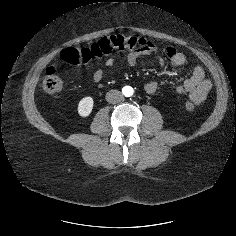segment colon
I'll return each instance as SVG.
<instances>
[{"label": "colon", "instance_id": "obj_1", "mask_svg": "<svg viewBox=\"0 0 236 236\" xmlns=\"http://www.w3.org/2000/svg\"><path fill=\"white\" fill-rule=\"evenodd\" d=\"M147 44L143 38L130 35H111L98 40L87 47H67L60 53V59L71 65L87 64L91 59H101L113 51L139 50ZM62 88V80L55 66L47 69L43 80V89L49 94L57 93ZM188 110H192V102L186 104Z\"/></svg>", "mask_w": 236, "mask_h": 236}]
</instances>
